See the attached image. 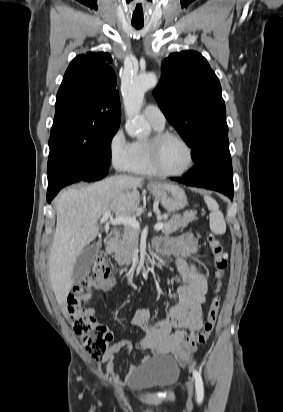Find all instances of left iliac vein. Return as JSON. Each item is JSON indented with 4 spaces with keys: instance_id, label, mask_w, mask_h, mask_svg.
<instances>
[{
    "instance_id": "4c4485c4",
    "label": "left iliac vein",
    "mask_w": 283,
    "mask_h": 412,
    "mask_svg": "<svg viewBox=\"0 0 283 412\" xmlns=\"http://www.w3.org/2000/svg\"><path fill=\"white\" fill-rule=\"evenodd\" d=\"M187 390H188V395L191 398L193 396V391H194V385L192 379H189L187 382Z\"/></svg>"
}]
</instances>
